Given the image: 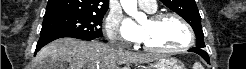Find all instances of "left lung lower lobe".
Masks as SVG:
<instances>
[{
	"mask_svg": "<svg viewBox=\"0 0 246 69\" xmlns=\"http://www.w3.org/2000/svg\"><path fill=\"white\" fill-rule=\"evenodd\" d=\"M189 51L190 52H195V53L199 54L202 58L205 59V61H207V63H210L209 56H208V54L203 49L192 48Z\"/></svg>",
	"mask_w": 246,
	"mask_h": 69,
	"instance_id": "0a47b994",
	"label": "left lung lower lobe"
}]
</instances>
